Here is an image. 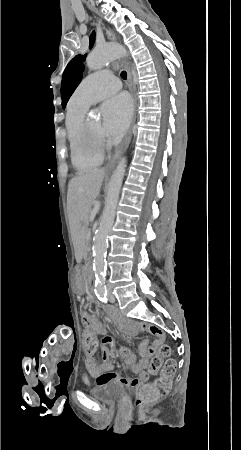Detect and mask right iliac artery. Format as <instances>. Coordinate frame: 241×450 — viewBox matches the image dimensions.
I'll use <instances>...</instances> for the list:
<instances>
[{"label": "right iliac artery", "mask_w": 241, "mask_h": 450, "mask_svg": "<svg viewBox=\"0 0 241 450\" xmlns=\"http://www.w3.org/2000/svg\"><path fill=\"white\" fill-rule=\"evenodd\" d=\"M96 296L98 297V299L102 302H107V289L106 287L101 286L100 288L97 289L96 291Z\"/></svg>", "instance_id": "right-iliac-artery-1"}]
</instances>
